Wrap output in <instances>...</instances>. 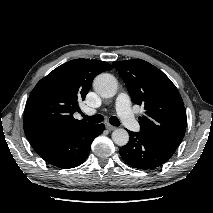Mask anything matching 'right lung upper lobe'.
Masks as SVG:
<instances>
[{
  "mask_svg": "<svg viewBox=\"0 0 213 213\" xmlns=\"http://www.w3.org/2000/svg\"><path fill=\"white\" fill-rule=\"evenodd\" d=\"M113 69L103 61H68L41 79L31 91L24 111V132L33 137L61 138L91 123L73 117L96 75Z\"/></svg>",
  "mask_w": 213,
  "mask_h": 213,
  "instance_id": "right-lung-upper-lobe-1",
  "label": "right lung upper lobe"
}]
</instances>
